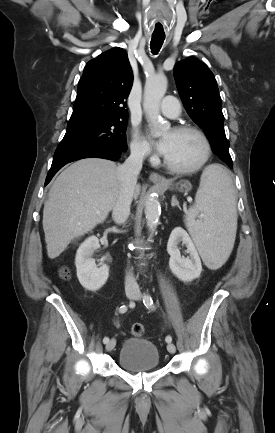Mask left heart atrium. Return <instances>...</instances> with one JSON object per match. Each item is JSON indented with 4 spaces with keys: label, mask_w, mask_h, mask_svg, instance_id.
I'll use <instances>...</instances> for the list:
<instances>
[{
    "label": "left heart atrium",
    "mask_w": 275,
    "mask_h": 433,
    "mask_svg": "<svg viewBox=\"0 0 275 433\" xmlns=\"http://www.w3.org/2000/svg\"><path fill=\"white\" fill-rule=\"evenodd\" d=\"M157 148L159 150V152L163 155H165L168 151L169 148V142L167 139H161L157 142Z\"/></svg>",
    "instance_id": "obj_1"
}]
</instances>
